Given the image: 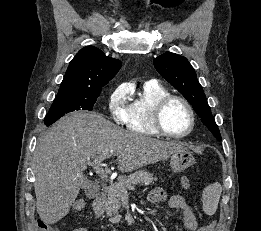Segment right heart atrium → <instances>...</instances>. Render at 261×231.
I'll list each match as a JSON object with an SVG mask.
<instances>
[{
  "instance_id": "obj_1",
  "label": "right heart atrium",
  "mask_w": 261,
  "mask_h": 231,
  "mask_svg": "<svg viewBox=\"0 0 261 231\" xmlns=\"http://www.w3.org/2000/svg\"><path fill=\"white\" fill-rule=\"evenodd\" d=\"M126 92L127 89L123 86L115 88L109 95L107 102L111 118L119 124L124 123L126 116Z\"/></svg>"
}]
</instances>
